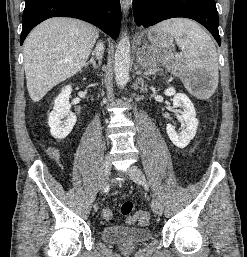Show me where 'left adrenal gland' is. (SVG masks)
<instances>
[{
  "instance_id": "1",
  "label": "left adrenal gland",
  "mask_w": 247,
  "mask_h": 257,
  "mask_svg": "<svg viewBox=\"0 0 247 257\" xmlns=\"http://www.w3.org/2000/svg\"><path fill=\"white\" fill-rule=\"evenodd\" d=\"M162 69L157 68V65L155 64L153 67H151L148 71H145V75H155L158 71H161Z\"/></svg>"
}]
</instances>
